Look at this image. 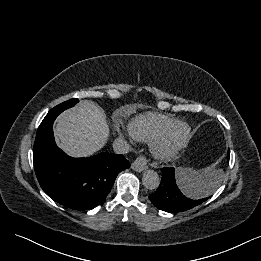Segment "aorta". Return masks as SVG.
Instances as JSON below:
<instances>
[{"label": "aorta", "mask_w": 261, "mask_h": 261, "mask_svg": "<svg viewBox=\"0 0 261 261\" xmlns=\"http://www.w3.org/2000/svg\"><path fill=\"white\" fill-rule=\"evenodd\" d=\"M142 182L146 189L156 190L160 184V177L154 170H147L143 173Z\"/></svg>", "instance_id": "obj_1"}]
</instances>
